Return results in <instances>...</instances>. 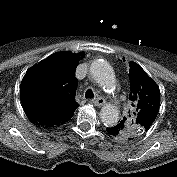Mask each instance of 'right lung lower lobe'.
Listing matches in <instances>:
<instances>
[{"instance_id":"right-lung-lower-lobe-1","label":"right lung lower lobe","mask_w":177,"mask_h":177,"mask_svg":"<svg viewBox=\"0 0 177 177\" xmlns=\"http://www.w3.org/2000/svg\"><path fill=\"white\" fill-rule=\"evenodd\" d=\"M30 121H31L33 124H35L36 126H38V127L50 128V127H48V125H47L45 122H43V121L33 120V119H30Z\"/></svg>"}]
</instances>
